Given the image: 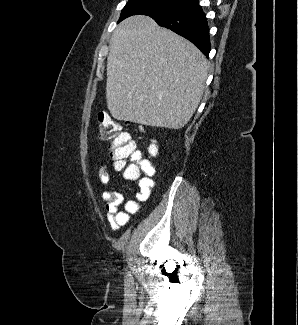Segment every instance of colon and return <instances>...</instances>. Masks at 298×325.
<instances>
[{
  "mask_svg": "<svg viewBox=\"0 0 298 325\" xmlns=\"http://www.w3.org/2000/svg\"><path fill=\"white\" fill-rule=\"evenodd\" d=\"M96 136L99 142L108 143L110 155L119 168H124L127 179H136L141 174L154 170L152 162L142 157L131 136L122 130L120 123L109 113L102 112L98 115ZM153 152L156 154L157 149L153 148Z\"/></svg>",
  "mask_w": 298,
  "mask_h": 325,
  "instance_id": "1",
  "label": "colon"
}]
</instances>
